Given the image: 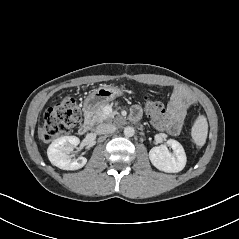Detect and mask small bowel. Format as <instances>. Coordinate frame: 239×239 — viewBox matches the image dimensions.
Instances as JSON below:
<instances>
[{"instance_id": "c3829d8e", "label": "small bowel", "mask_w": 239, "mask_h": 239, "mask_svg": "<svg viewBox=\"0 0 239 239\" xmlns=\"http://www.w3.org/2000/svg\"><path fill=\"white\" fill-rule=\"evenodd\" d=\"M190 102L191 97L185 90L178 89L175 90L174 93L172 94V98L166 112L170 118V126H169L170 134L172 135L179 134ZM141 114H142L141 107L135 105L131 110V118L133 120H138L141 117Z\"/></svg>"}]
</instances>
